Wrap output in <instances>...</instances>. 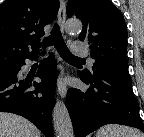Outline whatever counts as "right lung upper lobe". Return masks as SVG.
Masks as SVG:
<instances>
[{
	"mask_svg": "<svg viewBox=\"0 0 144 137\" xmlns=\"http://www.w3.org/2000/svg\"><path fill=\"white\" fill-rule=\"evenodd\" d=\"M58 9V0H5L0 5V72L37 54L43 28Z\"/></svg>",
	"mask_w": 144,
	"mask_h": 137,
	"instance_id": "right-lung-upper-lobe-1",
	"label": "right lung upper lobe"
}]
</instances>
